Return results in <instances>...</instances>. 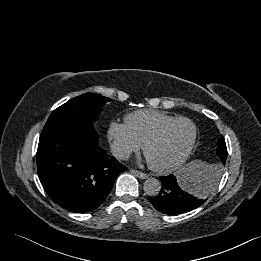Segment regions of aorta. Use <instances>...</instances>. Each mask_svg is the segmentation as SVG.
Masks as SVG:
<instances>
[{"label": "aorta", "mask_w": 261, "mask_h": 261, "mask_svg": "<svg viewBox=\"0 0 261 261\" xmlns=\"http://www.w3.org/2000/svg\"><path fill=\"white\" fill-rule=\"evenodd\" d=\"M143 188L148 196H157L161 190V182L155 178H148Z\"/></svg>", "instance_id": "762f6f07"}]
</instances>
